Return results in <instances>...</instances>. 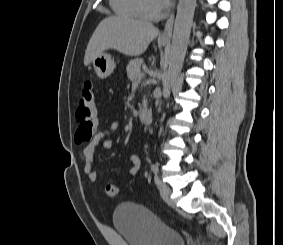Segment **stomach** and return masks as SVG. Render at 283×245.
I'll return each instance as SVG.
<instances>
[{"instance_id": "stomach-1", "label": "stomach", "mask_w": 283, "mask_h": 245, "mask_svg": "<svg viewBox=\"0 0 283 245\" xmlns=\"http://www.w3.org/2000/svg\"><path fill=\"white\" fill-rule=\"evenodd\" d=\"M162 45H165V43H162ZM92 63L96 75L102 79L110 76L116 67L113 58L107 53H101L99 56L93 59Z\"/></svg>"}]
</instances>
